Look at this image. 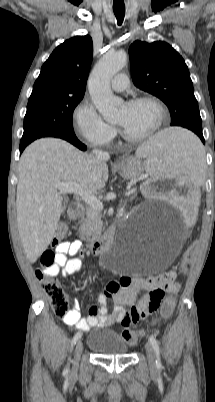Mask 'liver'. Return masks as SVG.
<instances>
[{
	"instance_id": "obj_1",
	"label": "liver",
	"mask_w": 215,
	"mask_h": 402,
	"mask_svg": "<svg viewBox=\"0 0 215 402\" xmlns=\"http://www.w3.org/2000/svg\"><path fill=\"white\" fill-rule=\"evenodd\" d=\"M108 166L94 155L56 138L30 144L19 161L16 211L20 240L35 263L48 248L65 211L57 183H75L92 194L108 180Z\"/></svg>"
}]
</instances>
